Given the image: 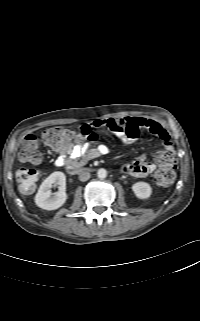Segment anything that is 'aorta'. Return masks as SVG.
Here are the masks:
<instances>
[{
  "label": "aorta",
  "instance_id": "aorta-1",
  "mask_svg": "<svg viewBox=\"0 0 200 321\" xmlns=\"http://www.w3.org/2000/svg\"><path fill=\"white\" fill-rule=\"evenodd\" d=\"M97 176H98L100 179H104V178H106V176H107V171H106L105 169L101 168V169H99V170L97 171Z\"/></svg>",
  "mask_w": 200,
  "mask_h": 321
}]
</instances>
